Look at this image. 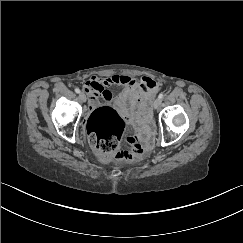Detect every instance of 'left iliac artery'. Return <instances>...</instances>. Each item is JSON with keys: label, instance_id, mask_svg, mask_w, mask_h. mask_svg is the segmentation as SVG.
<instances>
[{"label": "left iliac artery", "instance_id": "1", "mask_svg": "<svg viewBox=\"0 0 243 243\" xmlns=\"http://www.w3.org/2000/svg\"><path fill=\"white\" fill-rule=\"evenodd\" d=\"M163 97H164V94H163V93H160L159 96H158V98H159L160 100L163 99Z\"/></svg>", "mask_w": 243, "mask_h": 243}]
</instances>
